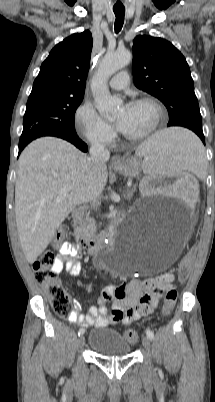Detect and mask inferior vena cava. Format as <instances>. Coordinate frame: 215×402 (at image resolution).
I'll return each instance as SVG.
<instances>
[{
  "label": "inferior vena cava",
  "instance_id": "inferior-vena-cava-1",
  "mask_svg": "<svg viewBox=\"0 0 215 402\" xmlns=\"http://www.w3.org/2000/svg\"><path fill=\"white\" fill-rule=\"evenodd\" d=\"M91 161L96 168L106 164L110 158V152L103 144L93 142L90 147Z\"/></svg>",
  "mask_w": 215,
  "mask_h": 402
}]
</instances>
